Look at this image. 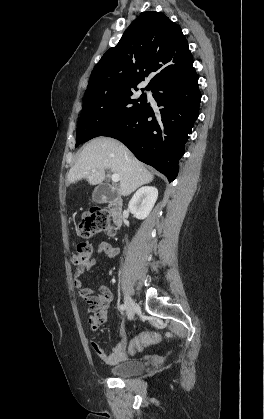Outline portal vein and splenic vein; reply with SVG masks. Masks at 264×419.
Wrapping results in <instances>:
<instances>
[{
    "instance_id": "obj_1",
    "label": "portal vein and splenic vein",
    "mask_w": 264,
    "mask_h": 419,
    "mask_svg": "<svg viewBox=\"0 0 264 419\" xmlns=\"http://www.w3.org/2000/svg\"><path fill=\"white\" fill-rule=\"evenodd\" d=\"M93 171H95V170H93ZM111 180H112L113 182L117 183V182H119L120 177H119V175H118V174H112V175H111Z\"/></svg>"
}]
</instances>
